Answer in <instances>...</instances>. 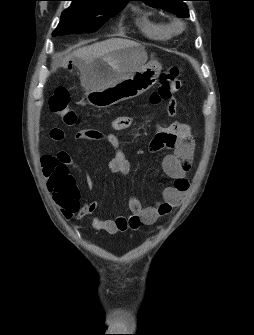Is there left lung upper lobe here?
I'll return each mask as SVG.
<instances>
[{
	"label": "left lung upper lobe",
	"mask_w": 254,
	"mask_h": 335,
	"mask_svg": "<svg viewBox=\"0 0 254 335\" xmlns=\"http://www.w3.org/2000/svg\"><path fill=\"white\" fill-rule=\"evenodd\" d=\"M153 6L160 7L167 11L176 14L180 18L189 17L187 5L183 2L185 0H139Z\"/></svg>",
	"instance_id": "5c2ea615"
}]
</instances>
